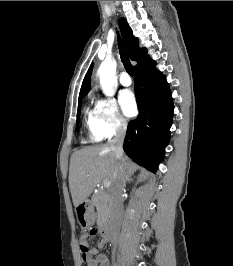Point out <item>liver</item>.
<instances>
[{
    "instance_id": "obj_1",
    "label": "liver",
    "mask_w": 233,
    "mask_h": 266,
    "mask_svg": "<svg viewBox=\"0 0 233 266\" xmlns=\"http://www.w3.org/2000/svg\"><path fill=\"white\" fill-rule=\"evenodd\" d=\"M123 159L128 166V158L123 156ZM118 170L119 161L110 144L85 147L74 152L69 168V189L74 206L86 201L101 180L109 179L113 183Z\"/></svg>"
}]
</instances>
